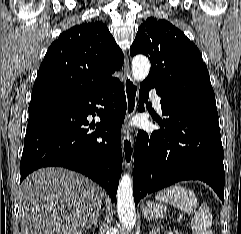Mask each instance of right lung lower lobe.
Instances as JSON below:
<instances>
[{"label": "right lung lower lobe", "mask_w": 241, "mask_h": 234, "mask_svg": "<svg viewBox=\"0 0 241 234\" xmlns=\"http://www.w3.org/2000/svg\"><path fill=\"white\" fill-rule=\"evenodd\" d=\"M96 104L103 107L98 109ZM126 108L124 87L115 78L87 97L29 111L20 181L42 167H65L97 182L115 201L122 171L121 126ZM95 113L101 122L90 133L95 124H89L87 116Z\"/></svg>", "instance_id": "obj_1"}]
</instances>
